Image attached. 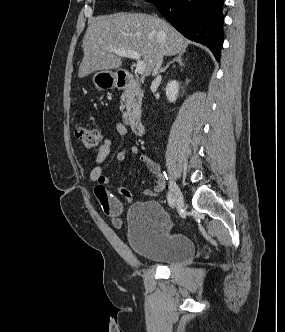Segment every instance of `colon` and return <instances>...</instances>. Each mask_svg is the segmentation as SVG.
Instances as JSON below:
<instances>
[{"mask_svg": "<svg viewBox=\"0 0 285 332\" xmlns=\"http://www.w3.org/2000/svg\"><path fill=\"white\" fill-rule=\"evenodd\" d=\"M75 134L79 142L88 149H96L102 140L101 133L92 127L79 126Z\"/></svg>", "mask_w": 285, "mask_h": 332, "instance_id": "colon-1", "label": "colon"}]
</instances>
